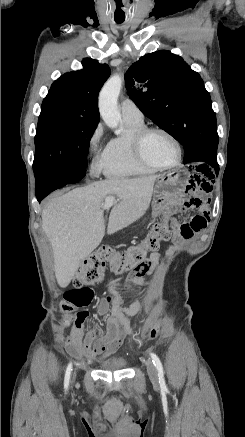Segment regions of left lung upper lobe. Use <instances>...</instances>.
Returning a JSON list of instances; mask_svg holds the SVG:
<instances>
[{
	"instance_id": "obj_1",
	"label": "left lung upper lobe",
	"mask_w": 245,
	"mask_h": 437,
	"mask_svg": "<svg viewBox=\"0 0 245 437\" xmlns=\"http://www.w3.org/2000/svg\"><path fill=\"white\" fill-rule=\"evenodd\" d=\"M125 84L145 116L183 145L184 163L217 162L219 137L210 94L180 56L166 50L144 55L125 73Z\"/></svg>"
}]
</instances>
